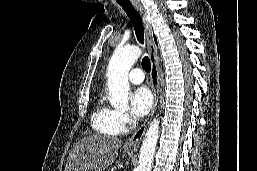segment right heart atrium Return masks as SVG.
<instances>
[{
  "mask_svg": "<svg viewBox=\"0 0 257 171\" xmlns=\"http://www.w3.org/2000/svg\"><path fill=\"white\" fill-rule=\"evenodd\" d=\"M117 116H118L119 124L122 127V129L126 128L128 126V124L130 123L129 116L125 112H122V111H118Z\"/></svg>",
  "mask_w": 257,
  "mask_h": 171,
  "instance_id": "d8ad5b80",
  "label": "right heart atrium"
}]
</instances>
